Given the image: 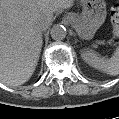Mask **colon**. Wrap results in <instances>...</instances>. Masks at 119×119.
<instances>
[{"instance_id":"obj_1","label":"colon","mask_w":119,"mask_h":119,"mask_svg":"<svg viewBox=\"0 0 119 119\" xmlns=\"http://www.w3.org/2000/svg\"><path fill=\"white\" fill-rule=\"evenodd\" d=\"M110 19L113 29V34L119 36V4L113 5L110 11Z\"/></svg>"}]
</instances>
